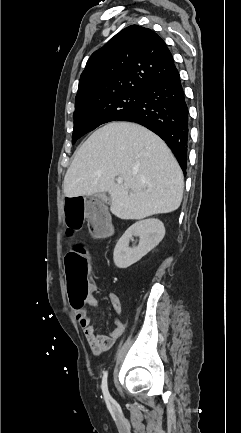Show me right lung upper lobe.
Returning a JSON list of instances; mask_svg holds the SVG:
<instances>
[{
    "instance_id": "cb5924a9",
    "label": "right lung upper lobe",
    "mask_w": 241,
    "mask_h": 433,
    "mask_svg": "<svg viewBox=\"0 0 241 433\" xmlns=\"http://www.w3.org/2000/svg\"><path fill=\"white\" fill-rule=\"evenodd\" d=\"M176 70L171 52L155 32L131 25L95 51L81 74L76 102L144 88Z\"/></svg>"
}]
</instances>
